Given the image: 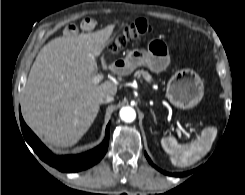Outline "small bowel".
<instances>
[{"instance_id": "c3829d8e", "label": "small bowel", "mask_w": 245, "mask_h": 195, "mask_svg": "<svg viewBox=\"0 0 245 195\" xmlns=\"http://www.w3.org/2000/svg\"><path fill=\"white\" fill-rule=\"evenodd\" d=\"M95 26H96V21L93 18H85L84 20H82L80 24L81 29L84 31L92 30L94 29ZM77 32H78V28L73 24L67 25L64 29V34L68 37H72L76 35Z\"/></svg>"}]
</instances>
